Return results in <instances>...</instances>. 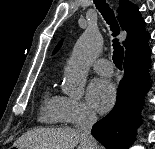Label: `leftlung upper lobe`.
<instances>
[{"mask_svg": "<svg viewBox=\"0 0 155 149\" xmlns=\"http://www.w3.org/2000/svg\"><path fill=\"white\" fill-rule=\"evenodd\" d=\"M62 44V41L59 42V44L56 46L55 50H54V53H56L58 51V49L60 48Z\"/></svg>", "mask_w": 155, "mask_h": 149, "instance_id": "1", "label": "left lung upper lobe"}]
</instances>
